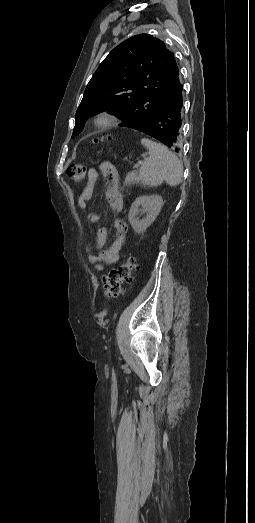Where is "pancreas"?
I'll return each instance as SVG.
<instances>
[{
    "mask_svg": "<svg viewBox=\"0 0 255 523\" xmlns=\"http://www.w3.org/2000/svg\"><path fill=\"white\" fill-rule=\"evenodd\" d=\"M137 180H138L137 174H134L133 172H132V174H127V176L125 178L124 186H128V184H136Z\"/></svg>",
    "mask_w": 255,
    "mask_h": 523,
    "instance_id": "obj_1",
    "label": "pancreas"
}]
</instances>
